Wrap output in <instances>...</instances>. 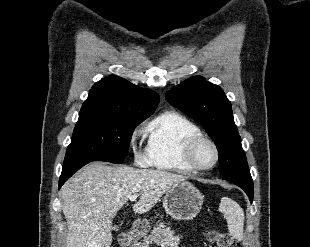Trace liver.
I'll return each instance as SVG.
<instances>
[{
	"mask_svg": "<svg viewBox=\"0 0 310 247\" xmlns=\"http://www.w3.org/2000/svg\"><path fill=\"white\" fill-rule=\"evenodd\" d=\"M187 178L162 170L107 166L94 162L62 187L60 197L68 224L66 247H110L112 220L132 195L133 211L151 210L162 195Z\"/></svg>",
	"mask_w": 310,
	"mask_h": 247,
	"instance_id": "obj_1",
	"label": "liver"
}]
</instances>
